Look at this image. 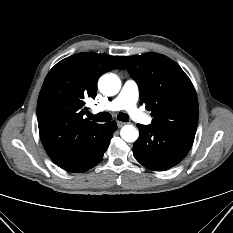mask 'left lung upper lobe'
Masks as SVG:
<instances>
[{
	"label": "left lung upper lobe",
	"mask_w": 233,
	"mask_h": 233,
	"mask_svg": "<svg viewBox=\"0 0 233 233\" xmlns=\"http://www.w3.org/2000/svg\"><path fill=\"white\" fill-rule=\"evenodd\" d=\"M122 59L139 86L141 104L152 111L151 126L195 134L198 100L192 82L180 66L157 53L122 56Z\"/></svg>",
	"instance_id": "5c2ea615"
}]
</instances>
